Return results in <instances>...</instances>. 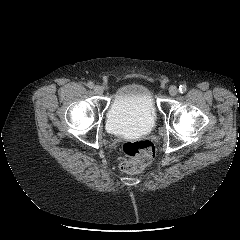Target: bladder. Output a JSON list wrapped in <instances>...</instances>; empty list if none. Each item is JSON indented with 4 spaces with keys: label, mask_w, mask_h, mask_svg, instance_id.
<instances>
[{
    "label": "bladder",
    "mask_w": 240,
    "mask_h": 240,
    "mask_svg": "<svg viewBox=\"0 0 240 240\" xmlns=\"http://www.w3.org/2000/svg\"><path fill=\"white\" fill-rule=\"evenodd\" d=\"M157 121V106L151 89L144 83L130 82L117 90L106 115V126L115 135L150 132Z\"/></svg>",
    "instance_id": "1"
}]
</instances>
